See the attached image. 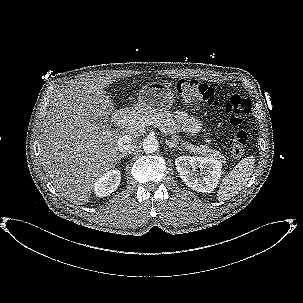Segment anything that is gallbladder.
Returning a JSON list of instances; mask_svg holds the SVG:
<instances>
[{
    "instance_id": "1",
    "label": "gallbladder",
    "mask_w": 303,
    "mask_h": 303,
    "mask_svg": "<svg viewBox=\"0 0 303 303\" xmlns=\"http://www.w3.org/2000/svg\"><path fill=\"white\" fill-rule=\"evenodd\" d=\"M106 120L103 117H98L94 120L97 125H102Z\"/></svg>"
}]
</instances>
